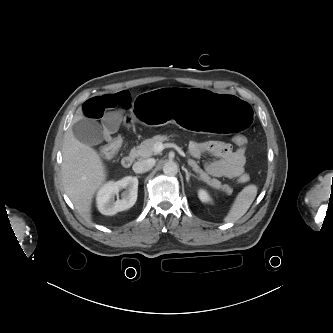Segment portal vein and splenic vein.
I'll use <instances>...</instances> for the list:
<instances>
[{
	"instance_id": "portal-vein-and-splenic-vein-1",
	"label": "portal vein and splenic vein",
	"mask_w": 333,
	"mask_h": 333,
	"mask_svg": "<svg viewBox=\"0 0 333 333\" xmlns=\"http://www.w3.org/2000/svg\"><path fill=\"white\" fill-rule=\"evenodd\" d=\"M165 148H174L180 155L185 156L183 150L174 143H165V144H163L161 142H158L154 145V149L157 153L161 152Z\"/></svg>"
}]
</instances>
